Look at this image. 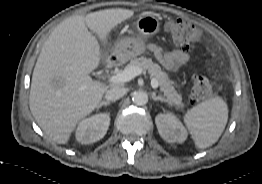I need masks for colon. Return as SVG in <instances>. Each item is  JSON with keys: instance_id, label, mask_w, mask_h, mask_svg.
<instances>
[{"instance_id": "1", "label": "colon", "mask_w": 262, "mask_h": 184, "mask_svg": "<svg viewBox=\"0 0 262 184\" xmlns=\"http://www.w3.org/2000/svg\"><path fill=\"white\" fill-rule=\"evenodd\" d=\"M166 30L175 44L186 49L193 48L201 37L199 28L183 19L169 20L166 23ZM191 86V102L193 103L207 99L212 93L211 82L206 76L195 75Z\"/></svg>"}]
</instances>
